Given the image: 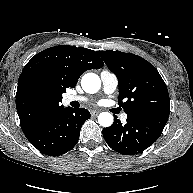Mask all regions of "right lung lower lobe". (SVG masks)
<instances>
[{"mask_svg":"<svg viewBox=\"0 0 193 193\" xmlns=\"http://www.w3.org/2000/svg\"><path fill=\"white\" fill-rule=\"evenodd\" d=\"M89 118L87 109L66 107L25 136L40 152L49 156L62 155L76 145L81 126Z\"/></svg>","mask_w":193,"mask_h":193,"instance_id":"obj_1","label":"right lung lower lobe"}]
</instances>
